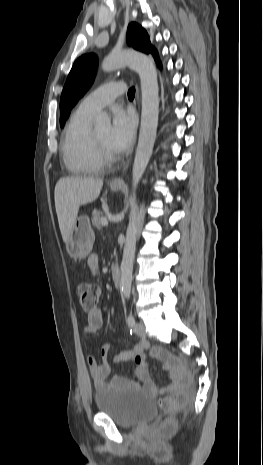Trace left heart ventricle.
<instances>
[{"label":"left heart ventricle","mask_w":263,"mask_h":465,"mask_svg":"<svg viewBox=\"0 0 263 465\" xmlns=\"http://www.w3.org/2000/svg\"><path fill=\"white\" fill-rule=\"evenodd\" d=\"M109 134H110V129L109 128H104L101 130H98L94 133L96 138L110 151L114 152L112 147L110 146L109 143Z\"/></svg>","instance_id":"left-heart-ventricle-1"}]
</instances>
